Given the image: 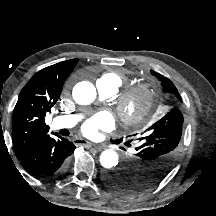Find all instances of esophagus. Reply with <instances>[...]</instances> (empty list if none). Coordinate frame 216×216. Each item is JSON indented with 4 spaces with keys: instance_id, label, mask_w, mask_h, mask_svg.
Instances as JSON below:
<instances>
[{
    "instance_id": "34e87169",
    "label": "esophagus",
    "mask_w": 216,
    "mask_h": 216,
    "mask_svg": "<svg viewBox=\"0 0 216 216\" xmlns=\"http://www.w3.org/2000/svg\"><path fill=\"white\" fill-rule=\"evenodd\" d=\"M77 140H78V139H77ZM75 141H76V140H75ZM80 144H81L82 146L95 147V148H97V149H99V150L102 149V146L96 145V144H94V143H92V142H89V141H86V140L82 141Z\"/></svg>"
}]
</instances>
